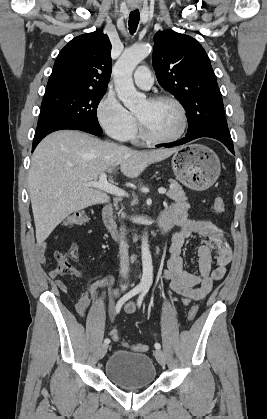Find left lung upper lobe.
I'll use <instances>...</instances> for the list:
<instances>
[{"mask_svg":"<svg viewBox=\"0 0 267 419\" xmlns=\"http://www.w3.org/2000/svg\"><path fill=\"white\" fill-rule=\"evenodd\" d=\"M153 68L159 84L185 108L188 126L212 115V130L227 126L223 101L210 60L194 38L174 31L154 36Z\"/></svg>","mask_w":267,"mask_h":419,"instance_id":"1","label":"left lung upper lobe"}]
</instances>
